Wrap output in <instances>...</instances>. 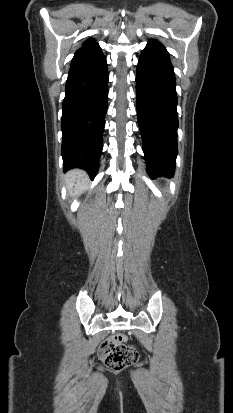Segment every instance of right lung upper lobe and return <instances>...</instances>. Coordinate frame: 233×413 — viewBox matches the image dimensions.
I'll return each mask as SVG.
<instances>
[{
    "instance_id": "obj_1",
    "label": "right lung upper lobe",
    "mask_w": 233,
    "mask_h": 413,
    "mask_svg": "<svg viewBox=\"0 0 233 413\" xmlns=\"http://www.w3.org/2000/svg\"><path fill=\"white\" fill-rule=\"evenodd\" d=\"M92 42H95V41H93L92 39H88V40L84 43V45L89 44V43H92Z\"/></svg>"
}]
</instances>
